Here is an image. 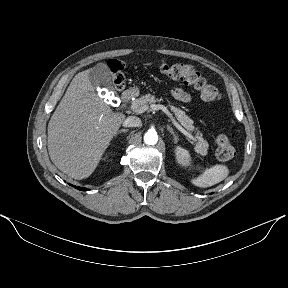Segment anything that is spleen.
I'll return each instance as SVG.
<instances>
[{
	"label": "spleen",
	"instance_id": "1",
	"mask_svg": "<svg viewBox=\"0 0 288 288\" xmlns=\"http://www.w3.org/2000/svg\"><path fill=\"white\" fill-rule=\"evenodd\" d=\"M175 155L177 162L182 166H188L191 161L190 153L188 150L177 146L175 148ZM229 174V170L224 165H215L207 169L203 175L194 179L192 182L198 187H210L223 181Z\"/></svg>",
	"mask_w": 288,
	"mask_h": 288
}]
</instances>
